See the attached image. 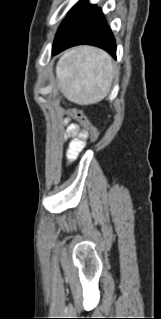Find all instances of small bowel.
I'll list each match as a JSON object with an SVG mask.
<instances>
[{
    "instance_id": "c3829d8e",
    "label": "small bowel",
    "mask_w": 161,
    "mask_h": 319,
    "mask_svg": "<svg viewBox=\"0 0 161 319\" xmlns=\"http://www.w3.org/2000/svg\"><path fill=\"white\" fill-rule=\"evenodd\" d=\"M64 124L66 125L65 136L69 139L66 156L70 161H72L75 159L85 143V139H83L84 131L72 121L71 117H66L64 119Z\"/></svg>"
}]
</instances>
